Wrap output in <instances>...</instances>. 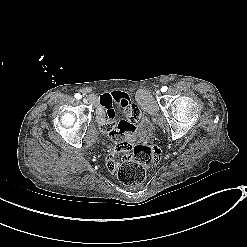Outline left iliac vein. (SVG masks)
<instances>
[{
	"instance_id": "left-iliac-vein-1",
	"label": "left iliac vein",
	"mask_w": 247,
	"mask_h": 247,
	"mask_svg": "<svg viewBox=\"0 0 247 247\" xmlns=\"http://www.w3.org/2000/svg\"><path fill=\"white\" fill-rule=\"evenodd\" d=\"M156 95H157V96L160 95V91H157V92H156Z\"/></svg>"
}]
</instances>
